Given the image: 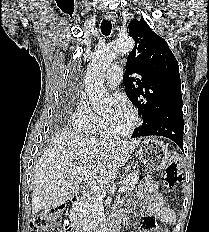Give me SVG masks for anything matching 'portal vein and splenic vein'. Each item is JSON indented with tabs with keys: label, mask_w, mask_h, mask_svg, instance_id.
<instances>
[{
	"label": "portal vein and splenic vein",
	"mask_w": 209,
	"mask_h": 232,
	"mask_svg": "<svg viewBox=\"0 0 209 232\" xmlns=\"http://www.w3.org/2000/svg\"><path fill=\"white\" fill-rule=\"evenodd\" d=\"M76 171L82 177H84L89 188L97 195V197H99L100 200H102L106 196L105 190L96 183L94 176L88 171V169L82 168V167H77ZM124 191H125V186L122 185L119 188V192L122 193Z\"/></svg>",
	"instance_id": "18ae733b"
}]
</instances>
